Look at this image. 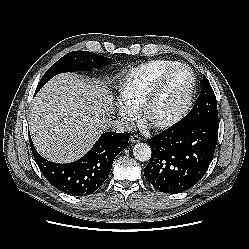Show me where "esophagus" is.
<instances>
[{
  "mask_svg": "<svg viewBox=\"0 0 249 249\" xmlns=\"http://www.w3.org/2000/svg\"><path fill=\"white\" fill-rule=\"evenodd\" d=\"M130 141H131L132 143H138V142L141 141V138H140L138 135L134 134V135H132V136L130 137Z\"/></svg>",
  "mask_w": 249,
  "mask_h": 249,
  "instance_id": "34e87169",
  "label": "esophagus"
}]
</instances>
